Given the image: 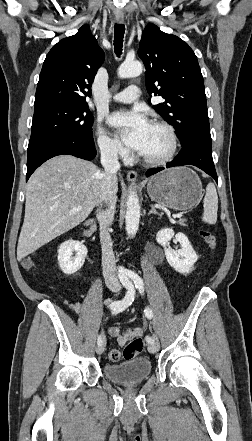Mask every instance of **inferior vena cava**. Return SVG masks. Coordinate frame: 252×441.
<instances>
[{"label":"inferior vena cava","instance_id":"obj_1","mask_svg":"<svg viewBox=\"0 0 252 441\" xmlns=\"http://www.w3.org/2000/svg\"><path fill=\"white\" fill-rule=\"evenodd\" d=\"M101 164L104 167L102 173L101 188L98 194V203L107 205L105 210H99L97 218L100 222V241L102 248V267L105 282L111 290L119 291L121 285L117 277L116 261L112 249L111 236L108 231L114 220L117 197L113 191V184L117 180V172L120 170L118 150L109 146H102Z\"/></svg>","mask_w":252,"mask_h":441}]
</instances>
